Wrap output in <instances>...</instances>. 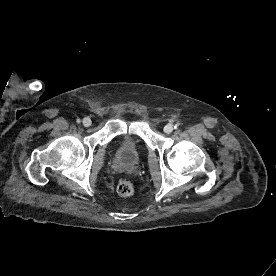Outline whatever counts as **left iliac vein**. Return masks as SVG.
I'll return each mask as SVG.
<instances>
[{
    "mask_svg": "<svg viewBox=\"0 0 276 276\" xmlns=\"http://www.w3.org/2000/svg\"><path fill=\"white\" fill-rule=\"evenodd\" d=\"M173 125L172 124H167L165 127H164V132L169 134L173 131Z\"/></svg>",
    "mask_w": 276,
    "mask_h": 276,
    "instance_id": "1",
    "label": "left iliac vein"
}]
</instances>
